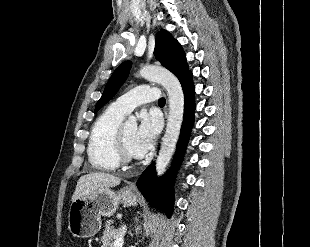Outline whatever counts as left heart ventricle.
I'll return each mask as SVG.
<instances>
[{
	"label": "left heart ventricle",
	"mask_w": 310,
	"mask_h": 247,
	"mask_svg": "<svg viewBox=\"0 0 310 247\" xmlns=\"http://www.w3.org/2000/svg\"><path fill=\"white\" fill-rule=\"evenodd\" d=\"M123 132H124V139H125L127 148L129 150V152L133 155L132 145H133V141H134L136 128H135V126H125L123 128Z\"/></svg>",
	"instance_id": "left-heart-ventricle-1"
}]
</instances>
